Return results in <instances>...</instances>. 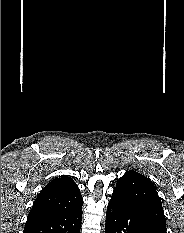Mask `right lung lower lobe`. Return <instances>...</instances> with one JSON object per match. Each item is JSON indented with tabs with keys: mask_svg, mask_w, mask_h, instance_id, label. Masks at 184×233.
Returning <instances> with one entry per match:
<instances>
[{
	"mask_svg": "<svg viewBox=\"0 0 184 233\" xmlns=\"http://www.w3.org/2000/svg\"><path fill=\"white\" fill-rule=\"evenodd\" d=\"M81 219L82 209L74 213L27 224L23 233H80Z\"/></svg>",
	"mask_w": 184,
	"mask_h": 233,
	"instance_id": "1",
	"label": "right lung lower lobe"
}]
</instances>
